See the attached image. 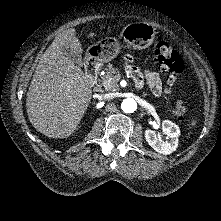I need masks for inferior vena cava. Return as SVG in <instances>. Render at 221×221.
<instances>
[{
	"instance_id": "inferior-vena-cava-1",
	"label": "inferior vena cava",
	"mask_w": 221,
	"mask_h": 221,
	"mask_svg": "<svg viewBox=\"0 0 221 221\" xmlns=\"http://www.w3.org/2000/svg\"><path fill=\"white\" fill-rule=\"evenodd\" d=\"M111 96L109 95V94H105L104 96H103V98L104 99H108V98H110Z\"/></svg>"
}]
</instances>
